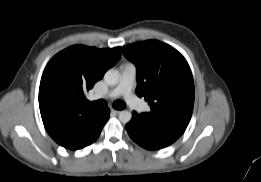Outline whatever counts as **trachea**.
Masks as SVG:
<instances>
[{"mask_svg": "<svg viewBox=\"0 0 261 182\" xmlns=\"http://www.w3.org/2000/svg\"><path fill=\"white\" fill-rule=\"evenodd\" d=\"M88 106H90L92 108L103 109V108L107 107V102L105 100L88 102ZM113 107L117 110H122L126 107V104L123 101L118 100L113 103Z\"/></svg>", "mask_w": 261, "mask_h": 182, "instance_id": "trachea-1", "label": "trachea"}]
</instances>
